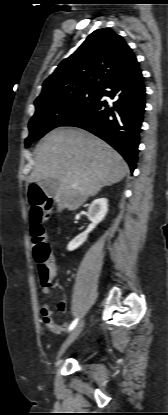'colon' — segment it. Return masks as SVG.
<instances>
[{"mask_svg":"<svg viewBox=\"0 0 168 415\" xmlns=\"http://www.w3.org/2000/svg\"><path fill=\"white\" fill-rule=\"evenodd\" d=\"M31 204V239L34 259L38 265L42 282L45 285L55 284L56 275L55 260L46 240V232L43 221L48 217L51 207V199L38 187L30 189Z\"/></svg>","mask_w":168,"mask_h":415,"instance_id":"colon-1","label":"colon"}]
</instances>
